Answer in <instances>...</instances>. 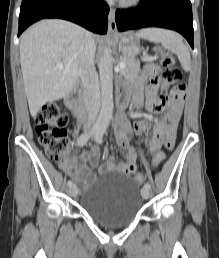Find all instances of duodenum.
<instances>
[{
  "label": "duodenum",
  "mask_w": 219,
  "mask_h": 258,
  "mask_svg": "<svg viewBox=\"0 0 219 258\" xmlns=\"http://www.w3.org/2000/svg\"><path fill=\"white\" fill-rule=\"evenodd\" d=\"M127 103V98L126 97H120L118 99V106L121 108L125 106ZM69 105L74 113V115L80 119L84 120L86 117V111L83 106V101H82V96H81V89L80 88H75L74 91L72 92L70 99H69Z\"/></svg>",
  "instance_id": "410a0bca"
}]
</instances>
